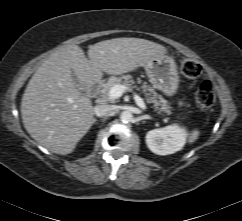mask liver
<instances>
[{"mask_svg": "<svg viewBox=\"0 0 242 221\" xmlns=\"http://www.w3.org/2000/svg\"><path fill=\"white\" fill-rule=\"evenodd\" d=\"M166 53L155 42L125 37L90 45L88 57L78 45L61 47L42 63L25 89L21 115L26 131L52 153H72L94 123L92 102L79 92L72 72L87 89L104 72H132Z\"/></svg>", "mask_w": 242, "mask_h": 221, "instance_id": "6515ba94", "label": "liver"}]
</instances>
